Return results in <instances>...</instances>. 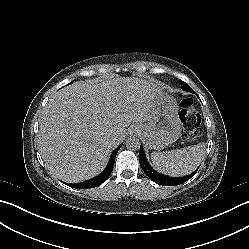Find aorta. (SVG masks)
Wrapping results in <instances>:
<instances>
[{"instance_id":"obj_1","label":"aorta","mask_w":249,"mask_h":249,"mask_svg":"<svg viewBox=\"0 0 249 249\" xmlns=\"http://www.w3.org/2000/svg\"><path fill=\"white\" fill-rule=\"evenodd\" d=\"M127 149L130 150H138L140 148V141L138 138L135 137H130L128 139H126V143H125Z\"/></svg>"}]
</instances>
